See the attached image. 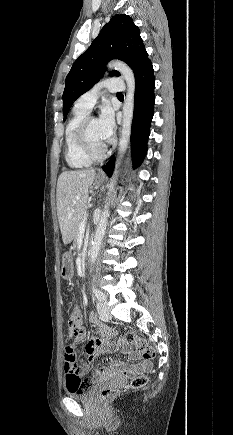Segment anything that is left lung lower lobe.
Segmentation results:
<instances>
[{"mask_svg": "<svg viewBox=\"0 0 233 435\" xmlns=\"http://www.w3.org/2000/svg\"><path fill=\"white\" fill-rule=\"evenodd\" d=\"M155 78L152 63L148 65L135 79L134 114L131 132V150L133 167L139 166L147 153V142L150 134V124L154 114ZM115 159L112 158L103 170L112 175Z\"/></svg>", "mask_w": 233, "mask_h": 435, "instance_id": "left-lung-lower-lobe-1", "label": "left lung lower lobe"}]
</instances>
